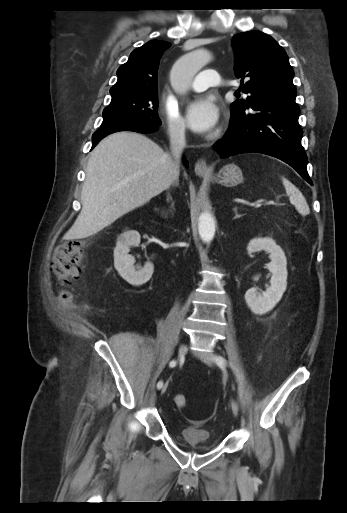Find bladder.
I'll return each mask as SVG.
<instances>
[{
	"instance_id": "obj_1",
	"label": "bladder",
	"mask_w": 347,
	"mask_h": 513,
	"mask_svg": "<svg viewBox=\"0 0 347 513\" xmlns=\"http://www.w3.org/2000/svg\"><path fill=\"white\" fill-rule=\"evenodd\" d=\"M180 436L185 445L200 451H210L218 445L213 440L211 432L205 428L186 426L182 428Z\"/></svg>"
}]
</instances>
